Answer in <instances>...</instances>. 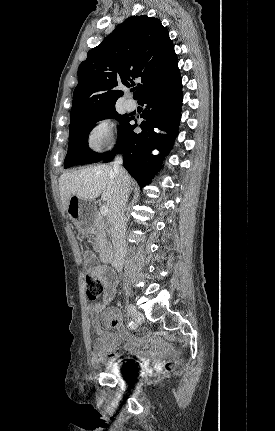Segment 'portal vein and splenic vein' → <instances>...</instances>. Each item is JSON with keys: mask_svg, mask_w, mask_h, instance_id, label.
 I'll return each instance as SVG.
<instances>
[{"mask_svg": "<svg viewBox=\"0 0 275 431\" xmlns=\"http://www.w3.org/2000/svg\"><path fill=\"white\" fill-rule=\"evenodd\" d=\"M100 213H101V215L106 216L108 214V207L107 206H102L100 208Z\"/></svg>", "mask_w": 275, "mask_h": 431, "instance_id": "18ae733b", "label": "portal vein and splenic vein"}]
</instances>
